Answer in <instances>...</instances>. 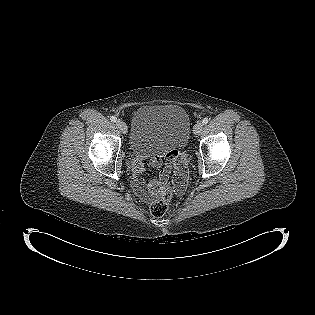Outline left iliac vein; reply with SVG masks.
Wrapping results in <instances>:
<instances>
[{
  "mask_svg": "<svg viewBox=\"0 0 315 315\" xmlns=\"http://www.w3.org/2000/svg\"><path fill=\"white\" fill-rule=\"evenodd\" d=\"M202 130H203V123L197 122L194 126V130H193L194 134L199 135Z\"/></svg>",
  "mask_w": 315,
  "mask_h": 315,
  "instance_id": "4c4485c4",
  "label": "left iliac vein"
}]
</instances>
